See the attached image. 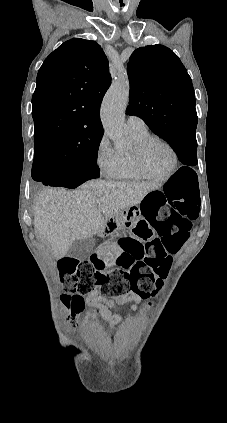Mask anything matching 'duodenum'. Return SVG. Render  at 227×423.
Returning a JSON list of instances; mask_svg holds the SVG:
<instances>
[{"instance_id":"obj_1","label":"duodenum","mask_w":227,"mask_h":423,"mask_svg":"<svg viewBox=\"0 0 227 423\" xmlns=\"http://www.w3.org/2000/svg\"><path fill=\"white\" fill-rule=\"evenodd\" d=\"M111 233H113V231H108V232H107V234H108V235H111Z\"/></svg>"}]
</instances>
